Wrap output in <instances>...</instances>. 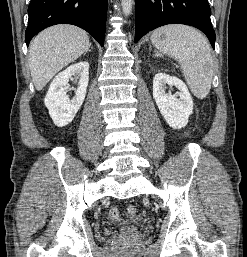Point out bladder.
<instances>
[{"instance_id":"bladder-1","label":"bladder","mask_w":247,"mask_h":257,"mask_svg":"<svg viewBox=\"0 0 247 257\" xmlns=\"http://www.w3.org/2000/svg\"><path fill=\"white\" fill-rule=\"evenodd\" d=\"M139 230H140V227L136 226V225L125 226V227L121 228V232L123 234H133V233H135V232H137Z\"/></svg>"}]
</instances>
